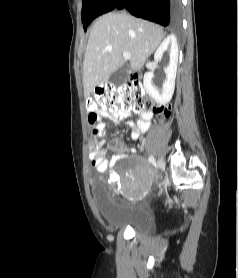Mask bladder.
Segmentation results:
<instances>
[{
    "mask_svg": "<svg viewBox=\"0 0 238 278\" xmlns=\"http://www.w3.org/2000/svg\"><path fill=\"white\" fill-rule=\"evenodd\" d=\"M94 199H98L99 210L105 225L111 229H131L136 233L150 234L155 229L151 212L138 204L112 202L106 197L102 186L94 187Z\"/></svg>",
    "mask_w": 238,
    "mask_h": 278,
    "instance_id": "bladder-1",
    "label": "bladder"
}]
</instances>
